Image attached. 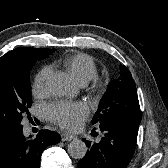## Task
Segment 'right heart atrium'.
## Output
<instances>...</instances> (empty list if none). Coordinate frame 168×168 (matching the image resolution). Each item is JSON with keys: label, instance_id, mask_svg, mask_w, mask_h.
<instances>
[{"label": "right heart atrium", "instance_id": "1", "mask_svg": "<svg viewBox=\"0 0 168 168\" xmlns=\"http://www.w3.org/2000/svg\"><path fill=\"white\" fill-rule=\"evenodd\" d=\"M50 68H42L36 75L34 82L32 84V93L35 96H42L47 91V80L50 76Z\"/></svg>", "mask_w": 168, "mask_h": 168}]
</instances>
